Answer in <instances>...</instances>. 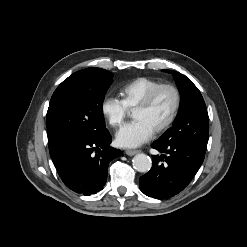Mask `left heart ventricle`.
<instances>
[{"instance_id": "b2bd125f", "label": "left heart ventricle", "mask_w": 247, "mask_h": 247, "mask_svg": "<svg viewBox=\"0 0 247 247\" xmlns=\"http://www.w3.org/2000/svg\"><path fill=\"white\" fill-rule=\"evenodd\" d=\"M174 105V95L171 90L163 89L158 93L151 106L147 109H135L133 118L143 120L154 130L169 117Z\"/></svg>"}]
</instances>
